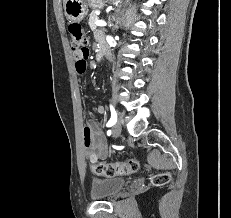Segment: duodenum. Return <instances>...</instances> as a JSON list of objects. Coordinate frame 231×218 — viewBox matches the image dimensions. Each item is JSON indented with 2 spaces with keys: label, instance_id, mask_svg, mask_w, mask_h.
I'll list each match as a JSON object with an SVG mask.
<instances>
[{
  "label": "duodenum",
  "instance_id": "410a0bca",
  "mask_svg": "<svg viewBox=\"0 0 231 218\" xmlns=\"http://www.w3.org/2000/svg\"><path fill=\"white\" fill-rule=\"evenodd\" d=\"M100 59H106L109 60L110 59V53L106 48H101L100 49Z\"/></svg>",
  "mask_w": 231,
  "mask_h": 218
}]
</instances>
